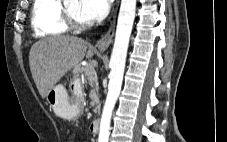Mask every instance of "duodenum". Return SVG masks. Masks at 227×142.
<instances>
[{"instance_id": "1", "label": "duodenum", "mask_w": 227, "mask_h": 142, "mask_svg": "<svg viewBox=\"0 0 227 142\" xmlns=\"http://www.w3.org/2000/svg\"><path fill=\"white\" fill-rule=\"evenodd\" d=\"M99 126H100V120H99V119H94V120L91 122L90 131H91L93 134H97L98 131H99Z\"/></svg>"}]
</instances>
